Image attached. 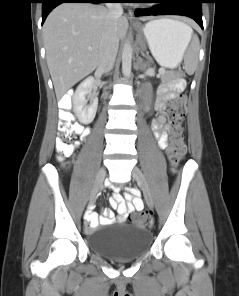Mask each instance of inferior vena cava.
Listing matches in <instances>:
<instances>
[{"label":"inferior vena cava","mask_w":239,"mask_h":296,"mask_svg":"<svg viewBox=\"0 0 239 296\" xmlns=\"http://www.w3.org/2000/svg\"><path fill=\"white\" fill-rule=\"evenodd\" d=\"M109 15L115 19L123 14L121 3H107L106 4ZM119 40L114 33H108L104 38L99 51L98 71L101 73H108L113 69L115 59L117 56Z\"/></svg>","instance_id":"inferior-vena-cava-1"}]
</instances>
